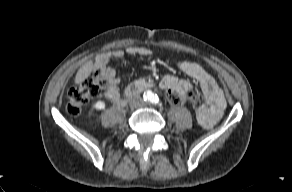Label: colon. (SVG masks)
<instances>
[{
	"instance_id": "colon-1",
	"label": "colon",
	"mask_w": 292,
	"mask_h": 192,
	"mask_svg": "<svg viewBox=\"0 0 292 192\" xmlns=\"http://www.w3.org/2000/svg\"><path fill=\"white\" fill-rule=\"evenodd\" d=\"M108 86V81L97 71L93 76L87 77L80 85L72 87L67 95L66 110L72 116L81 113L84 106L93 98L98 97ZM169 102L173 105H182L185 103L198 106L201 103L199 93L191 89L183 95L170 93L167 95Z\"/></svg>"
}]
</instances>
